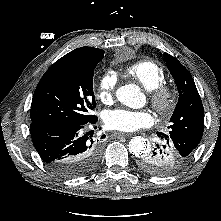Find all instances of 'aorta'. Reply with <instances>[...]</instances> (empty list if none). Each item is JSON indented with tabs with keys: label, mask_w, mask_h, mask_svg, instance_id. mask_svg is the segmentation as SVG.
<instances>
[{
	"label": "aorta",
	"mask_w": 221,
	"mask_h": 221,
	"mask_svg": "<svg viewBox=\"0 0 221 221\" xmlns=\"http://www.w3.org/2000/svg\"><path fill=\"white\" fill-rule=\"evenodd\" d=\"M116 97L119 102L131 108H139L144 102V97L140 88L134 84L124 85L118 88ZM128 146L129 151L137 157L143 156L150 150L149 143L142 136L133 137Z\"/></svg>",
	"instance_id": "obj_1"
}]
</instances>
